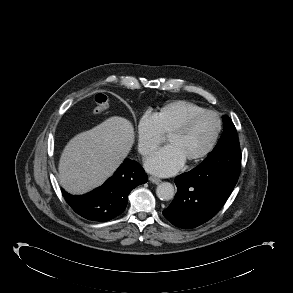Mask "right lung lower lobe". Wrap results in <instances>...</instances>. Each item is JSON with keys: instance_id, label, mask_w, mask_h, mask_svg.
Returning <instances> with one entry per match:
<instances>
[{"instance_id": "obj_1", "label": "right lung lower lobe", "mask_w": 293, "mask_h": 293, "mask_svg": "<svg viewBox=\"0 0 293 293\" xmlns=\"http://www.w3.org/2000/svg\"><path fill=\"white\" fill-rule=\"evenodd\" d=\"M147 182V175L136 161L126 159L102 186L92 192L73 196L62 190L66 202L80 216L106 222L121 214L133 188Z\"/></svg>"}]
</instances>
